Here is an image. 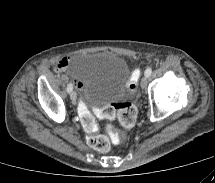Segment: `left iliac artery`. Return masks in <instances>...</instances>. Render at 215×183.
Returning <instances> with one entry per match:
<instances>
[{
  "label": "left iliac artery",
  "instance_id": "1",
  "mask_svg": "<svg viewBox=\"0 0 215 183\" xmlns=\"http://www.w3.org/2000/svg\"><path fill=\"white\" fill-rule=\"evenodd\" d=\"M151 73H152V68L148 67V68L145 70V75L149 77V76L151 75Z\"/></svg>",
  "mask_w": 215,
  "mask_h": 183
}]
</instances>
